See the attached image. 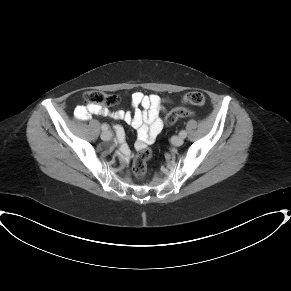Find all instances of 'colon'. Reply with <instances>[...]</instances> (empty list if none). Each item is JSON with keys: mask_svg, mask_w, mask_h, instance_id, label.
Listing matches in <instances>:
<instances>
[{"mask_svg": "<svg viewBox=\"0 0 291 291\" xmlns=\"http://www.w3.org/2000/svg\"><path fill=\"white\" fill-rule=\"evenodd\" d=\"M86 106L100 107L108 109L115 106L119 102L117 95L106 93L100 90H90L84 95ZM183 104L201 106L205 102V97L201 92H189L183 96ZM189 112L184 108L171 110L166 116L165 123L167 126L173 125L180 118L189 116ZM151 156V151L148 148H142L136 154L133 163V172L138 178H143L147 172V161Z\"/></svg>", "mask_w": 291, "mask_h": 291, "instance_id": "colon-1", "label": "colon"}]
</instances>
